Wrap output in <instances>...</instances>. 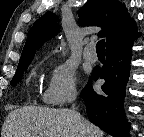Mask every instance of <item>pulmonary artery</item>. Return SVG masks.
<instances>
[{"instance_id": "obj_1", "label": "pulmonary artery", "mask_w": 144, "mask_h": 137, "mask_svg": "<svg viewBox=\"0 0 144 137\" xmlns=\"http://www.w3.org/2000/svg\"><path fill=\"white\" fill-rule=\"evenodd\" d=\"M84 59L89 62H96L98 60L97 54L95 52V46L93 43H89L83 52Z\"/></svg>"}]
</instances>
